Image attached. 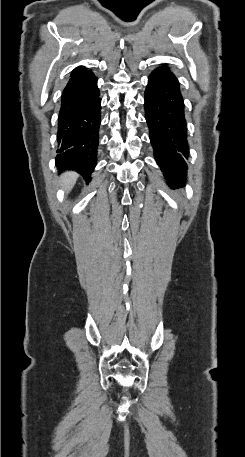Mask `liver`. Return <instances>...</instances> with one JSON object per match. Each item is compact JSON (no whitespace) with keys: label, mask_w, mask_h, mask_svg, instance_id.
I'll list each match as a JSON object with an SVG mask.
<instances>
[{"label":"liver","mask_w":245,"mask_h":457,"mask_svg":"<svg viewBox=\"0 0 245 457\" xmlns=\"http://www.w3.org/2000/svg\"><path fill=\"white\" fill-rule=\"evenodd\" d=\"M61 186H64L66 192H69L71 188H73L77 178L78 174L77 172H64V174H61Z\"/></svg>","instance_id":"1"}]
</instances>
